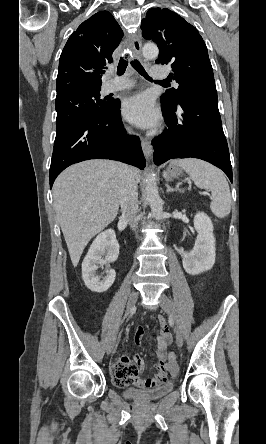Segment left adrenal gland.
<instances>
[{"mask_svg": "<svg viewBox=\"0 0 266 444\" xmlns=\"http://www.w3.org/2000/svg\"><path fill=\"white\" fill-rule=\"evenodd\" d=\"M165 186L167 187V192H173V191H177L178 189H174V188H171L168 184H165Z\"/></svg>", "mask_w": 266, "mask_h": 444, "instance_id": "obj_1", "label": "left adrenal gland"}]
</instances>
